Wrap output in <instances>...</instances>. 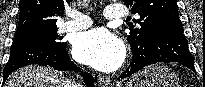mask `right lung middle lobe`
Here are the masks:
<instances>
[{
	"mask_svg": "<svg viewBox=\"0 0 205 87\" xmlns=\"http://www.w3.org/2000/svg\"><path fill=\"white\" fill-rule=\"evenodd\" d=\"M59 40H61V37L57 34V28H53L17 32L15 33L13 43L39 42L53 47L63 46L65 43Z\"/></svg>",
	"mask_w": 205,
	"mask_h": 87,
	"instance_id": "obj_1",
	"label": "right lung middle lobe"
}]
</instances>
